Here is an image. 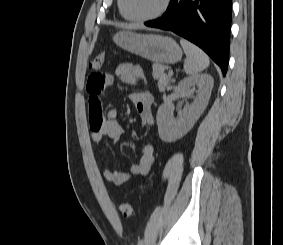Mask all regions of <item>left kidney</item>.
Listing matches in <instances>:
<instances>
[{
  "instance_id": "left-kidney-1",
  "label": "left kidney",
  "mask_w": 283,
  "mask_h": 245,
  "mask_svg": "<svg viewBox=\"0 0 283 245\" xmlns=\"http://www.w3.org/2000/svg\"><path fill=\"white\" fill-rule=\"evenodd\" d=\"M211 75L201 74L181 80L175 91L181 95H190L197 87L196 95L191 104H186L179 118H174V105L162 104L157 112L159 137L164 142H174L190 131L204 112L213 88Z\"/></svg>"
}]
</instances>
